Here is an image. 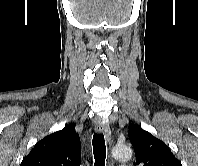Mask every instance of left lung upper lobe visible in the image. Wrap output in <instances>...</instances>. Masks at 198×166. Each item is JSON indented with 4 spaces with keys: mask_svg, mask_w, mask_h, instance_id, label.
I'll return each mask as SVG.
<instances>
[{
    "mask_svg": "<svg viewBox=\"0 0 198 166\" xmlns=\"http://www.w3.org/2000/svg\"><path fill=\"white\" fill-rule=\"evenodd\" d=\"M139 166H182L169 147L139 125H133L128 131Z\"/></svg>",
    "mask_w": 198,
    "mask_h": 166,
    "instance_id": "1",
    "label": "left lung upper lobe"
}]
</instances>
